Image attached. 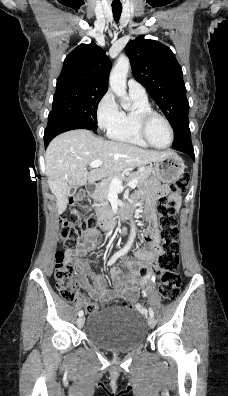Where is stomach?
<instances>
[{
  "instance_id": "obj_1",
  "label": "stomach",
  "mask_w": 228,
  "mask_h": 396,
  "mask_svg": "<svg viewBox=\"0 0 228 396\" xmlns=\"http://www.w3.org/2000/svg\"><path fill=\"white\" fill-rule=\"evenodd\" d=\"M150 168L159 181L170 183L180 178L184 172L185 165L177 154L170 153L164 158L155 161L154 166Z\"/></svg>"
}]
</instances>
